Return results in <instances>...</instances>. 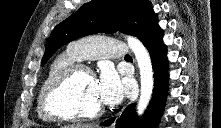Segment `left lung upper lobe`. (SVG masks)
Segmentation results:
<instances>
[{
    "mask_svg": "<svg viewBox=\"0 0 221 128\" xmlns=\"http://www.w3.org/2000/svg\"><path fill=\"white\" fill-rule=\"evenodd\" d=\"M157 22L148 0H92L54 28L42 65L63 45L90 34L120 31L144 42Z\"/></svg>",
    "mask_w": 221,
    "mask_h": 128,
    "instance_id": "1",
    "label": "left lung upper lobe"
}]
</instances>
